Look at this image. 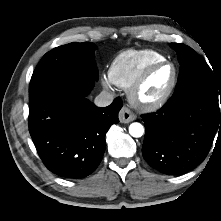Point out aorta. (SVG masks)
<instances>
[{
    "mask_svg": "<svg viewBox=\"0 0 221 221\" xmlns=\"http://www.w3.org/2000/svg\"><path fill=\"white\" fill-rule=\"evenodd\" d=\"M129 133L132 137L139 138L144 134V127L138 122H134L129 126Z\"/></svg>",
    "mask_w": 221,
    "mask_h": 221,
    "instance_id": "1",
    "label": "aorta"
}]
</instances>
